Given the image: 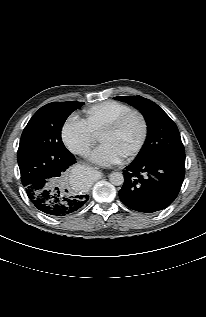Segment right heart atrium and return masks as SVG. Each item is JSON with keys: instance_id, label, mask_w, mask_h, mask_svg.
<instances>
[{"instance_id": "1", "label": "right heart atrium", "mask_w": 206, "mask_h": 317, "mask_svg": "<svg viewBox=\"0 0 206 317\" xmlns=\"http://www.w3.org/2000/svg\"><path fill=\"white\" fill-rule=\"evenodd\" d=\"M65 146L75 154L85 155L95 141V136L83 119L70 116L61 127Z\"/></svg>"}]
</instances>
